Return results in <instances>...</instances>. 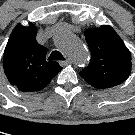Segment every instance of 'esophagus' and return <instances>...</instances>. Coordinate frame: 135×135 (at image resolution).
Returning a JSON list of instances; mask_svg holds the SVG:
<instances>
[{"instance_id":"obj_1","label":"esophagus","mask_w":135,"mask_h":135,"mask_svg":"<svg viewBox=\"0 0 135 135\" xmlns=\"http://www.w3.org/2000/svg\"><path fill=\"white\" fill-rule=\"evenodd\" d=\"M72 61L70 60V59H66L65 61H60L59 62V64L61 65V66H65V65H67V64H70Z\"/></svg>"}]
</instances>
